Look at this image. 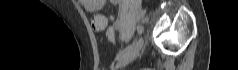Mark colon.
<instances>
[{"label": "colon", "mask_w": 238, "mask_h": 70, "mask_svg": "<svg viewBox=\"0 0 238 70\" xmlns=\"http://www.w3.org/2000/svg\"><path fill=\"white\" fill-rule=\"evenodd\" d=\"M107 38L110 41H114L116 38V27L111 26L107 29Z\"/></svg>", "instance_id": "obj_1"}]
</instances>
